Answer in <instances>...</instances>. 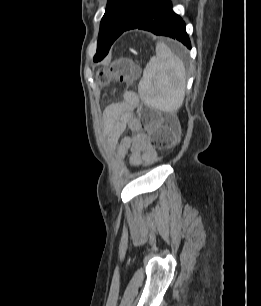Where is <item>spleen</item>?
<instances>
[{
  "label": "spleen",
  "instance_id": "3e777b00",
  "mask_svg": "<svg viewBox=\"0 0 261 306\" xmlns=\"http://www.w3.org/2000/svg\"><path fill=\"white\" fill-rule=\"evenodd\" d=\"M185 88L183 61L164 43H157L156 56L146 65L138 85L140 98L152 108L174 112L183 105Z\"/></svg>",
  "mask_w": 261,
  "mask_h": 306
}]
</instances>
